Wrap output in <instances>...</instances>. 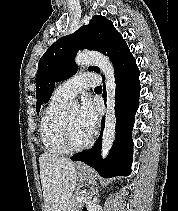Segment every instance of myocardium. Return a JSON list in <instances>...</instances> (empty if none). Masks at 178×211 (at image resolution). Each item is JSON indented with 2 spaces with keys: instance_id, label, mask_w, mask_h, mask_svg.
<instances>
[{
  "instance_id": "f54148a6",
  "label": "myocardium",
  "mask_w": 178,
  "mask_h": 211,
  "mask_svg": "<svg viewBox=\"0 0 178 211\" xmlns=\"http://www.w3.org/2000/svg\"><path fill=\"white\" fill-rule=\"evenodd\" d=\"M93 141H94V135L91 134L90 137L88 138V140L85 143H83L81 145H75L72 141V138H71L68 118H67V116L63 117V120H62V143H63L64 147L69 152L82 151V150L88 148L89 146H91Z\"/></svg>"
}]
</instances>
